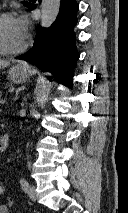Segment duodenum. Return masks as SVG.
I'll list each match as a JSON object with an SVG mask.
<instances>
[{"mask_svg":"<svg viewBox=\"0 0 128 213\" xmlns=\"http://www.w3.org/2000/svg\"><path fill=\"white\" fill-rule=\"evenodd\" d=\"M10 138L8 134H4L0 137V152L6 151L9 146Z\"/></svg>","mask_w":128,"mask_h":213,"instance_id":"1","label":"duodenum"}]
</instances>
